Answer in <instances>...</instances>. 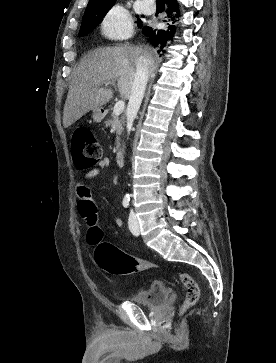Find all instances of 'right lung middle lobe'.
Returning <instances> with one entry per match:
<instances>
[{"mask_svg":"<svg viewBox=\"0 0 276 363\" xmlns=\"http://www.w3.org/2000/svg\"><path fill=\"white\" fill-rule=\"evenodd\" d=\"M114 3L115 2L97 4V5H88L82 19V25L79 31V36L87 35L90 31L95 29L96 26L102 22L104 16L114 5ZM138 23L140 25L141 21L139 20Z\"/></svg>","mask_w":276,"mask_h":363,"instance_id":"dd1d6c3e","label":"right lung middle lobe"}]
</instances>
